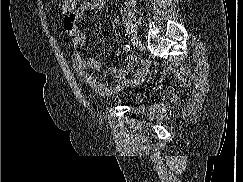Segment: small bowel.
Listing matches in <instances>:
<instances>
[{
	"label": "small bowel",
	"instance_id": "1",
	"mask_svg": "<svg viewBox=\"0 0 243 182\" xmlns=\"http://www.w3.org/2000/svg\"><path fill=\"white\" fill-rule=\"evenodd\" d=\"M106 7V0H85L73 13L64 18L63 29L68 35L72 45V63L75 73L80 81L85 83L97 95L108 97L122 90L129 84L139 83L145 73V67L138 65V59L131 57L126 65L121 68L112 67L110 74L113 77V84L101 83L88 70L99 71L101 64L97 59L84 58L82 49L85 45V34L79 26L92 11L102 10ZM131 73H133L132 76Z\"/></svg>",
	"mask_w": 243,
	"mask_h": 182
}]
</instances>
